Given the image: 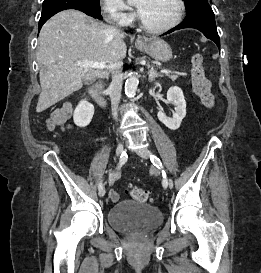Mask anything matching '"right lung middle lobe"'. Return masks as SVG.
I'll return each instance as SVG.
<instances>
[{"mask_svg": "<svg viewBox=\"0 0 261 273\" xmlns=\"http://www.w3.org/2000/svg\"><path fill=\"white\" fill-rule=\"evenodd\" d=\"M89 7L94 8L96 10H100L99 1L100 0H83ZM70 0H44L42 14H51L56 11H60L63 9H67L65 7L66 3H69Z\"/></svg>", "mask_w": 261, "mask_h": 273, "instance_id": "dd1d6c3e", "label": "right lung middle lobe"}]
</instances>
